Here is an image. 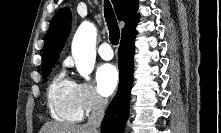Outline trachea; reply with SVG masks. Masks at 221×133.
I'll use <instances>...</instances> for the list:
<instances>
[{
	"label": "trachea",
	"mask_w": 221,
	"mask_h": 133,
	"mask_svg": "<svg viewBox=\"0 0 221 133\" xmlns=\"http://www.w3.org/2000/svg\"><path fill=\"white\" fill-rule=\"evenodd\" d=\"M104 14L109 27V40L113 45H117L119 43L120 32L115 14L108 0H105L104 3Z\"/></svg>",
	"instance_id": "obj_1"
}]
</instances>
